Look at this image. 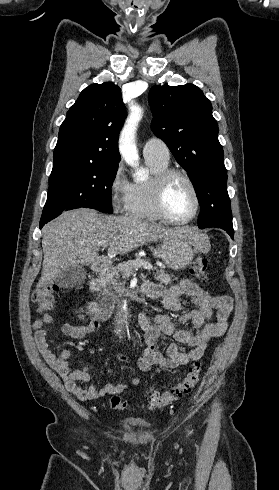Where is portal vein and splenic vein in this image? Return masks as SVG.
Instances as JSON below:
<instances>
[{"label":"portal vein and splenic vein","instance_id":"portal-vein-and-splenic-vein-1","mask_svg":"<svg viewBox=\"0 0 279 490\" xmlns=\"http://www.w3.org/2000/svg\"><path fill=\"white\" fill-rule=\"evenodd\" d=\"M108 244H102V248H107ZM134 268H145V270H153L152 264L150 262H143V260H139V262H133Z\"/></svg>","mask_w":279,"mask_h":490}]
</instances>
